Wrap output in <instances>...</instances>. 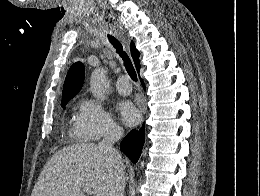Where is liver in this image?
Wrapping results in <instances>:
<instances>
[{
  "instance_id": "obj_1",
  "label": "liver",
  "mask_w": 260,
  "mask_h": 196,
  "mask_svg": "<svg viewBox=\"0 0 260 196\" xmlns=\"http://www.w3.org/2000/svg\"><path fill=\"white\" fill-rule=\"evenodd\" d=\"M117 170L112 154L96 144H74L46 162L31 196H84V186L94 196H109Z\"/></svg>"
}]
</instances>
